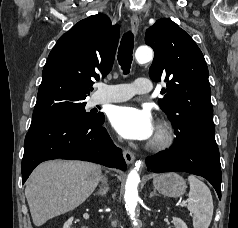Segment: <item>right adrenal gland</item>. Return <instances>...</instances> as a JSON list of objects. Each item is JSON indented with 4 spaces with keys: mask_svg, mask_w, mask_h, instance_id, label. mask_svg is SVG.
<instances>
[{
    "mask_svg": "<svg viewBox=\"0 0 238 228\" xmlns=\"http://www.w3.org/2000/svg\"><path fill=\"white\" fill-rule=\"evenodd\" d=\"M109 190V187L106 183H103V185L100 187V189L94 193V195H101L105 196Z\"/></svg>",
    "mask_w": 238,
    "mask_h": 228,
    "instance_id": "2a0ac1e0",
    "label": "right adrenal gland"
}]
</instances>
